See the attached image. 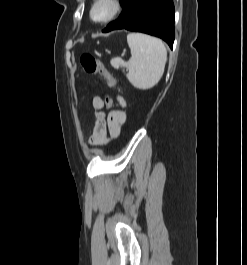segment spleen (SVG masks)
<instances>
[{
    "mask_svg": "<svg viewBox=\"0 0 247 265\" xmlns=\"http://www.w3.org/2000/svg\"><path fill=\"white\" fill-rule=\"evenodd\" d=\"M127 42L131 50L129 61L116 57L111 60V65L117 69L126 68V76L135 88L147 90L154 87L163 75L167 60L163 42L143 33H129Z\"/></svg>",
    "mask_w": 247,
    "mask_h": 265,
    "instance_id": "obj_1",
    "label": "spleen"
}]
</instances>
